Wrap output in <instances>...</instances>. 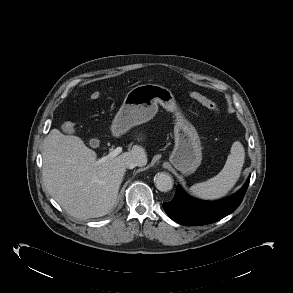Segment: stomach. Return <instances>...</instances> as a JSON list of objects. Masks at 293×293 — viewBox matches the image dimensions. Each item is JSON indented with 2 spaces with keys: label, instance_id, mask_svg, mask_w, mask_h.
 I'll use <instances>...</instances> for the list:
<instances>
[{
  "label": "stomach",
  "instance_id": "stomach-1",
  "mask_svg": "<svg viewBox=\"0 0 293 293\" xmlns=\"http://www.w3.org/2000/svg\"><path fill=\"white\" fill-rule=\"evenodd\" d=\"M158 104L175 117V145L169 158L170 162L185 175L194 173L202 161L199 135L183 115L173 93L164 86L142 84L132 88L113 120V135L119 136L130 128L151 120L158 111Z\"/></svg>",
  "mask_w": 293,
  "mask_h": 293
}]
</instances>
